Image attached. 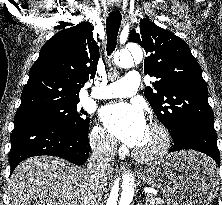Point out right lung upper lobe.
Wrapping results in <instances>:
<instances>
[{
  "instance_id": "1",
  "label": "right lung upper lobe",
  "mask_w": 222,
  "mask_h": 205,
  "mask_svg": "<svg viewBox=\"0 0 222 205\" xmlns=\"http://www.w3.org/2000/svg\"><path fill=\"white\" fill-rule=\"evenodd\" d=\"M88 21L56 33L40 50L29 72L17 112L46 103L79 101V90L95 76L99 48Z\"/></svg>"
}]
</instances>
